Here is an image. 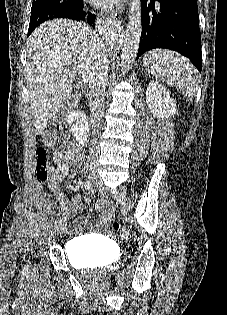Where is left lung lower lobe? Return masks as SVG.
<instances>
[{"mask_svg": "<svg viewBox=\"0 0 227 315\" xmlns=\"http://www.w3.org/2000/svg\"><path fill=\"white\" fill-rule=\"evenodd\" d=\"M141 3L142 33L137 59L151 49H171L189 58L201 72L197 0H141Z\"/></svg>", "mask_w": 227, "mask_h": 315, "instance_id": "1", "label": "left lung lower lobe"}]
</instances>
